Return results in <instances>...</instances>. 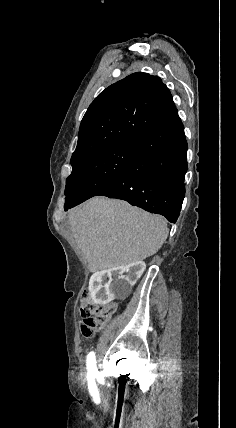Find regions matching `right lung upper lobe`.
<instances>
[{"label": "right lung upper lobe", "instance_id": "right-lung-upper-lobe-1", "mask_svg": "<svg viewBox=\"0 0 236 428\" xmlns=\"http://www.w3.org/2000/svg\"><path fill=\"white\" fill-rule=\"evenodd\" d=\"M176 112L172 95L159 77L133 73L106 88L90 104L71 164L120 142L139 139Z\"/></svg>", "mask_w": 236, "mask_h": 428}]
</instances>
